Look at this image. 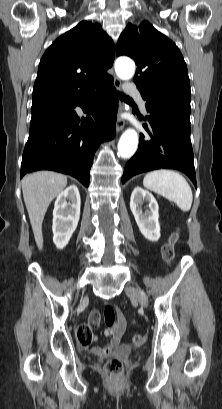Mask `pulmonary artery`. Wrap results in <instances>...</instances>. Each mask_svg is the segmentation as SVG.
Here are the masks:
<instances>
[{
	"label": "pulmonary artery",
	"instance_id": "e3ab8cb5",
	"mask_svg": "<svg viewBox=\"0 0 222 409\" xmlns=\"http://www.w3.org/2000/svg\"><path fill=\"white\" fill-rule=\"evenodd\" d=\"M125 91L128 95H133L138 98L140 105L145 108V101L142 99L139 90L134 85H127Z\"/></svg>",
	"mask_w": 222,
	"mask_h": 409
}]
</instances>
